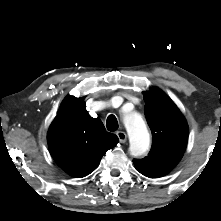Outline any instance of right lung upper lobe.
I'll return each mask as SVG.
<instances>
[{
	"instance_id": "1",
	"label": "right lung upper lobe",
	"mask_w": 221,
	"mask_h": 221,
	"mask_svg": "<svg viewBox=\"0 0 221 221\" xmlns=\"http://www.w3.org/2000/svg\"><path fill=\"white\" fill-rule=\"evenodd\" d=\"M47 141L57 164L81 178L99 165L102 156L116 146L118 137L87 113L83 98L67 96L49 128Z\"/></svg>"
}]
</instances>
